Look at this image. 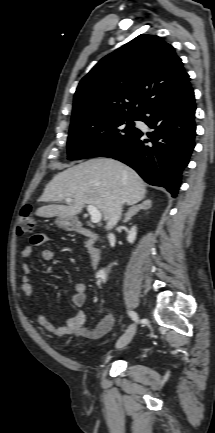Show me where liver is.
Masks as SVG:
<instances>
[{"mask_svg": "<svg viewBox=\"0 0 215 433\" xmlns=\"http://www.w3.org/2000/svg\"><path fill=\"white\" fill-rule=\"evenodd\" d=\"M146 192L143 180L130 167L114 159H90L58 173L40 197L43 202L72 201L67 206H42L36 215L74 218L86 205H93L109 220L118 206L136 204Z\"/></svg>", "mask_w": 215, "mask_h": 433, "instance_id": "1", "label": "liver"}]
</instances>
